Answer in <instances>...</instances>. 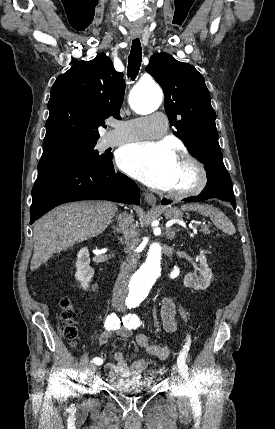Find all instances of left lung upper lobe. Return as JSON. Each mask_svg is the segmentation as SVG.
I'll use <instances>...</instances> for the list:
<instances>
[{
  "instance_id": "obj_1",
  "label": "left lung upper lobe",
  "mask_w": 275,
  "mask_h": 429,
  "mask_svg": "<svg viewBox=\"0 0 275 429\" xmlns=\"http://www.w3.org/2000/svg\"><path fill=\"white\" fill-rule=\"evenodd\" d=\"M146 71L160 84L165 109L174 134L189 153L205 165L208 180L231 181L218 143L216 113L203 76L190 64L179 62L167 53H156Z\"/></svg>"
}]
</instances>
